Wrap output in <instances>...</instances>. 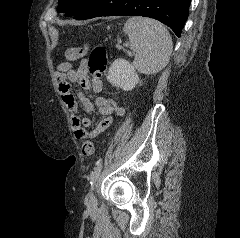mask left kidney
Returning a JSON list of instances; mask_svg holds the SVG:
<instances>
[{
    "mask_svg": "<svg viewBox=\"0 0 240 238\" xmlns=\"http://www.w3.org/2000/svg\"><path fill=\"white\" fill-rule=\"evenodd\" d=\"M107 80L115 87L131 91L138 83L135 68L125 59H116L110 66Z\"/></svg>",
    "mask_w": 240,
    "mask_h": 238,
    "instance_id": "obj_1",
    "label": "left kidney"
}]
</instances>
